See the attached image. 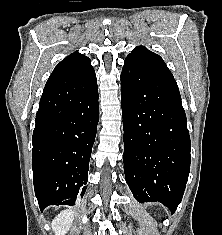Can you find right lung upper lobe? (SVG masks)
Returning <instances> with one entry per match:
<instances>
[{
    "instance_id": "1",
    "label": "right lung upper lobe",
    "mask_w": 222,
    "mask_h": 235,
    "mask_svg": "<svg viewBox=\"0 0 222 235\" xmlns=\"http://www.w3.org/2000/svg\"><path fill=\"white\" fill-rule=\"evenodd\" d=\"M91 70H93L91 60L78 51H75L55 67L49 79L65 80L83 75Z\"/></svg>"
}]
</instances>
